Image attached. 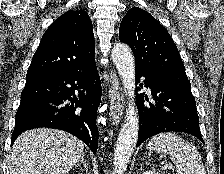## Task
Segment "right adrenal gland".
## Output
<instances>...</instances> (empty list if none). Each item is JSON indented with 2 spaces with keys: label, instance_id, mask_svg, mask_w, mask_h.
<instances>
[{
  "label": "right adrenal gland",
  "instance_id": "1",
  "mask_svg": "<svg viewBox=\"0 0 224 174\" xmlns=\"http://www.w3.org/2000/svg\"><path fill=\"white\" fill-rule=\"evenodd\" d=\"M81 164L83 165V167H84V169H85V171H86V174H88V165H87V163H86V161H85V159H84L83 156H82L81 159L77 162L76 167L81 166Z\"/></svg>",
  "mask_w": 224,
  "mask_h": 174
}]
</instances>
